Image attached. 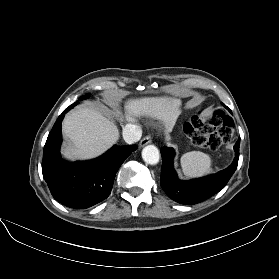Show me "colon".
Wrapping results in <instances>:
<instances>
[{
  "instance_id": "1",
  "label": "colon",
  "mask_w": 279,
  "mask_h": 279,
  "mask_svg": "<svg viewBox=\"0 0 279 279\" xmlns=\"http://www.w3.org/2000/svg\"><path fill=\"white\" fill-rule=\"evenodd\" d=\"M190 127L193 144L211 150L228 142L234 131L232 119L222 111L198 115L192 120Z\"/></svg>"
}]
</instances>
